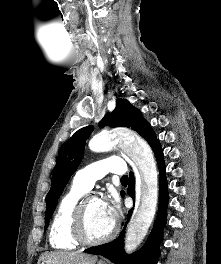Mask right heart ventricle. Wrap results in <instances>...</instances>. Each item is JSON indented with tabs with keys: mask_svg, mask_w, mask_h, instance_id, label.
Returning a JSON list of instances; mask_svg holds the SVG:
<instances>
[{
	"mask_svg": "<svg viewBox=\"0 0 221 264\" xmlns=\"http://www.w3.org/2000/svg\"><path fill=\"white\" fill-rule=\"evenodd\" d=\"M85 193L86 190L73 183L61 198L49 233V241L53 248L74 250L79 246V243L73 238L71 233V217L74 207Z\"/></svg>",
	"mask_w": 221,
	"mask_h": 264,
	"instance_id": "right-heart-ventricle-1",
	"label": "right heart ventricle"
}]
</instances>
